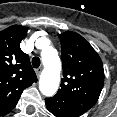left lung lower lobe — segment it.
Masks as SVG:
<instances>
[{
	"instance_id": "left-lung-lower-lobe-1",
	"label": "left lung lower lobe",
	"mask_w": 117,
	"mask_h": 117,
	"mask_svg": "<svg viewBox=\"0 0 117 117\" xmlns=\"http://www.w3.org/2000/svg\"><path fill=\"white\" fill-rule=\"evenodd\" d=\"M47 109L56 117H79L84 112L59 98H46Z\"/></svg>"
}]
</instances>
